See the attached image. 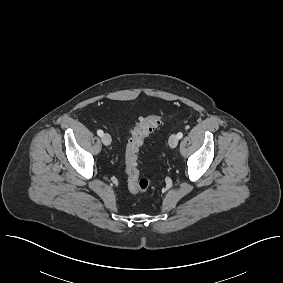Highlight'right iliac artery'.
<instances>
[{"mask_svg":"<svg viewBox=\"0 0 283 283\" xmlns=\"http://www.w3.org/2000/svg\"><path fill=\"white\" fill-rule=\"evenodd\" d=\"M97 134H98V136L102 137L104 133H103L102 130H97Z\"/></svg>","mask_w":283,"mask_h":283,"instance_id":"obj_1","label":"right iliac artery"}]
</instances>
